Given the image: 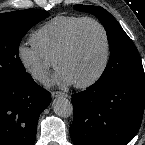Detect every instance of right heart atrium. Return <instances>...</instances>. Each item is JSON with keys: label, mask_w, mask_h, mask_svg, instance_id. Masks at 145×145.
I'll use <instances>...</instances> for the list:
<instances>
[{"label": "right heart atrium", "mask_w": 145, "mask_h": 145, "mask_svg": "<svg viewBox=\"0 0 145 145\" xmlns=\"http://www.w3.org/2000/svg\"><path fill=\"white\" fill-rule=\"evenodd\" d=\"M17 58L22 68L37 82H45L54 66L53 61L45 57L33 43H21L17 47Z\"/></svg>", "instance_id": "right-heart-atrium-1"}]
</instances>
